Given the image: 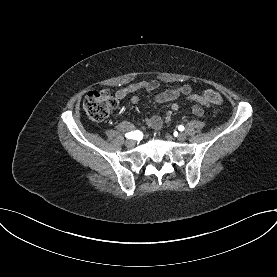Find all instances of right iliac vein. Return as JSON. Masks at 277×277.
Segmentation results:
<instances>
[{"mask_svg":"<svg viewBox=\"0 0 277 277\" xmlns=\"http://www.w3.org/2000/svg\"><path fill=\"white\" fill-rule=\"evenodd\" d=\"M135 143H136L135 140H133V139H128V140H126L125 145H126L127 147H129V148H132V147L135 146Z\"/></svg>","mask_w":277,"mask_h":277,"instance_id":"63e3f726","label":"right iliac vein"}]
</instances>
